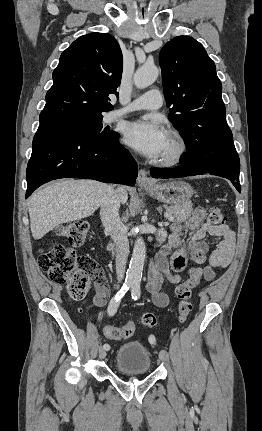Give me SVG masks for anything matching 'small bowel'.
Masks as SVG:
<instances>
[{
	"instance_id": "small-bowel-1",
	"label": "small bowel",
	"mask_w": 262,
	"mask_h": 431,
	"mask_svg": "<svg viewBox=\"0 0 262 431\" xmlns=\"http://www.w3.org/2000/svg\"><path fill=\"white\" fill-rule=\"evenodd\" d=\"M205 217L203 210L197 209L193 215L183 222H173L170 232L163 233L167 238L150 264L148 272L147 290L152 302L157 307H166L169 297L162 290L167 282L179 283L182 280L187 261L200 265L208 261L203 269V275L207 280L215 277L216 272L228 267L234 256L235 235L227 225L214 226L208 222H202ZM185 229L192 230L190 239L186 242L182 239ZM207 236L222 238L220 246L210 252V244L206 241ZM109 298V286L104 277L95 283V294L91 305L100 307L106 304ZM151 343L155 337L150 335Z\"/></svg>"
}]
</instances>
